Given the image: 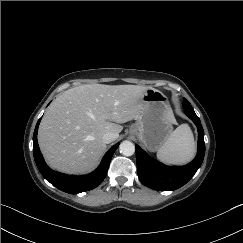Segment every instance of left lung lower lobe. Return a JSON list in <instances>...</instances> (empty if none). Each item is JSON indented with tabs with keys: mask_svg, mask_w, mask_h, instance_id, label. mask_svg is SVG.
I'll list each match as a JSON object with an SVG mask.
<instances>
[{
	"mask_svg": "<svg viewBox=\"0 0 243 243\" xmlns=\"http://www.w3.org/2000/svg\"><path fill=\"white\" fill-rule=\"evenodd\" d=\"M185 114L195 123L198 130V150L193 161L185 166L169 167L150 158L138 145L136 146L137 173L140 181L147 187L171 191L186 184L202 164L205 154L204 131L200 119L192 106L183 105Z\"/></svg>",
	"mask_w": 243,
	"mask_h": 243,
	"instance_id": "0a47b994",
	"label": "left lung lower lobe"
}]
</instances>
